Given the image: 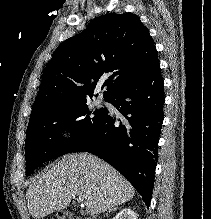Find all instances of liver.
<instances>
[{
	"mask_svg": "<svg viewBox=\"0 0 211 219\" xmlns=\"http://www.w3.org/2000/svg\"><path fill=\"white\" fill-rule=\"evenodd\" d=\"M85 200L86 212L100 214L129 201L133 186L112 166L87 153L64 156L29 186V213L40 219L66 208L73 196Z\"/></svg>",
	"mask_w": 211,
	"mask_h": 219,
	"instance_id": "liver-1",
	"label": "liver"
}]
</instances>
